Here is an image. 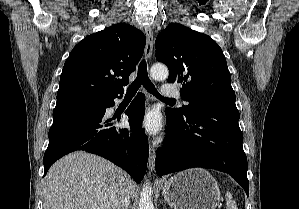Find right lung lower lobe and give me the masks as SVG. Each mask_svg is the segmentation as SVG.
I'll return each instance as SVG.
<instances>
[{
    "instance_id": "right-lung-lower-lobe-1",
    "label": "right lung lower lobe",
    "mask_w": 299,
    "mask_h": 209,
    "mask_svg": "<svg viewBox=\"0 0 299 209\" xmlns=\"http://www.w3.org/2000/svg\"><path fill=\"white\" fill-rule=\"evenodd\" d=\"M121 97V96H116ZM103 100H58L49 130V145L44 154V175L62 156L85 150L102 156L125 169L140 183L148 161L147 137L141 128L145 113L144 95L138 94L126 110L130 128L113 126L104 118L106 108L114 106V98Z\"/></svg>"
}]
</instances>
